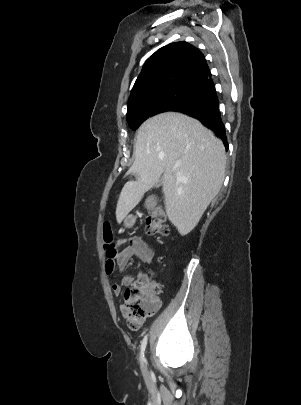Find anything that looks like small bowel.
<instances>
[{
  "label": "small bowel",
  "mask_w": 301,
  "mask_h": 405,
  "mask_svg": "<svg viewBox=\"0 0 301 405\" xmlns=\"http://www.w3.org/2000/svg\"><path fill=\"white\" fill-rule=\"evenodd\" d=\"M116 247V255L106 261V271L108 274H111L115 268H118L119 273L122 275V284L126 286L131 285L134 282V277L123 274L126 267L133 258H137L147 264L152 263L155 257V251L148 242L139 235L120 238L116 242ZM112 290L116 296H119L122 293V285L114 283Z\"/></svg>",
  "instance_id": "small-bowel-1"
}]
</instances>
